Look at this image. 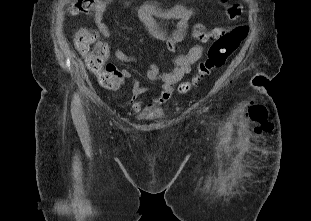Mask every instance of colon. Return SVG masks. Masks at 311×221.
<instances>
[{
  "label": "colon",
  "instance_id": "obj_1",
  "mask_svg": "<svg viewBox=\"0 0 311 221\" xmlns=\"http://www.w3.org/2000/svg\"><path fill=\"white\" fill-rule=\"evenodd\" d=\"M107 0H77L68 1L66 11L70 12V17H93L96 10V4H103ZM223 7L227 9L231 20H237L245 17L242 12L241 2H232V0H222ZM91 4V5H87ZM223 28H215L211 32H205L202 25L195 26V38L198 41L205 42L218 34V39L213 42L207 58L201 61L197 67L196 74L186 82H182L177 87L178 94H187L192 89L198 87L205 77L210 76L214 70L220 68L239 47L242 40L247 36L248 29L246 25L240 24L229 36H224ZM228 31V30H227ZM74 44L80 54L83 56L87 68L94 74L102 86H110L115 78L113 71L106 66L108 59V45L99 39L98 33L87 28L79 29L74 37Z\"/></svg>",
  "mask_w": 311,
  "mask_h": 221
}]
</instances>
